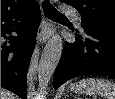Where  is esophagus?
Masks as SVG:
<instances>
[{
    "label": "esophagus",
    "mask_w": 115,
    "mask_h": 99,
    "mask_svg": "<svg viewBox=\"0 0 115 99\" xmlns=\"http://www.w3.org/2000/svg\"><path fill=\"white\" fill-rule=\"evenodd\" d=\"M49 37V23L46 19H43L40 25V29L37 36V41L39 43L45 42Z\"/></svg>",
    "instance_id": "1"
}]
</instances>
